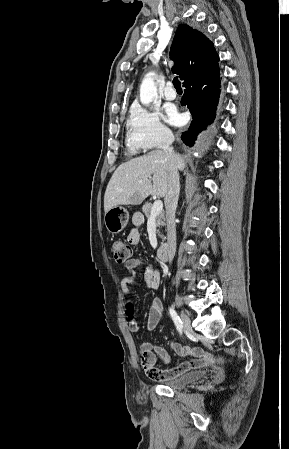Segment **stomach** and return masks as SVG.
<instances>
[{"instance_id": "0dacf381", "label": "stomach", "mask_w": 289, "mask_h": 449, "mask_svg": "<svg viewBox=\"0 0 289 449\" xmlns=\"http://www.w3.org/2000/svg\"><path fill=\"white\" fill-rule=\"evenodd\" d=\"M129 221V213L122 206H115L108 210L104 216V223L110 233L121 232Z\"/></svg>"}]
</instances>
